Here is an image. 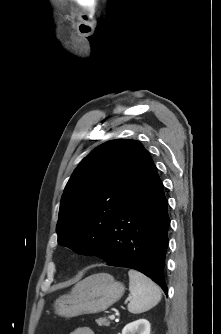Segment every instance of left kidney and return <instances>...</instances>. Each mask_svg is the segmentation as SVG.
<instances>
[{
    "mask_svg": "<svg viewBox=\"0 0 221 334\" xmlns=\"http://www.w3.org/2000/svg\"><path fill=\"white\" fill-rule=\"evenodd\" d=\"M122 334H150V323L146 319H139L127 324Z\"/></svg>",
    "mask_w": 221,
    "mask_h": 334,
    "instance_id": "left-kidney-1",
    "label": "left kidney"
}]
</instances>
